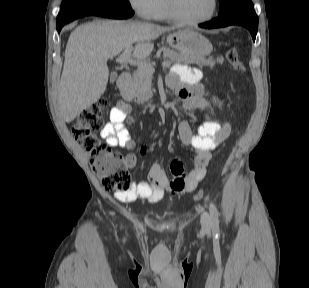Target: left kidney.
I'll list each match as a JSON object with an SVG mask.
<instances>
[{"label": "left kidney", "mask_w": 309, "mask_h": 288, "mask_svg": "<svg viewBox=\"0 0 309 288\" xmlns=\"http://www.w3.org/2000/svg\"><path fill=\"white\" fill-rule=\"evenodd\" d=\"M213 101L216 103V102H218V99L216 100V98H213Z\"/></svg>", "instance_id": "1"}]
</instances>
